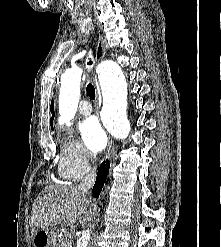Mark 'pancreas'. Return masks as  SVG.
<instances>
[{"instance_id": "pancreas-1", "label": "pancreas", "mask_w": 221, "mask_h": 247, "mask_svg": "<svg viewBox=\"0 0 221 247\" xmlns=\"http://www.w3.org/2000/svg\"><path fill=\"white\" fill-rule=\"evenodd\" d=\"M53 247H71V242L67 237H58V232L53 233Z\"/></svg>"}]
</instances>
